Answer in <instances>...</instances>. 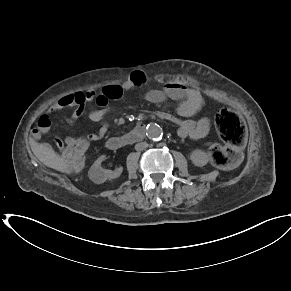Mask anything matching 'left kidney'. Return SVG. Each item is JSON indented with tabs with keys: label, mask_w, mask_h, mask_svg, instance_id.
I'll use <instances>...</instances> for the list:
<instances>
[{
	"label": "left kidney",
	"mask_w": 291,
	"mask_h": 291,
	"mask_svg": "<svg viewBox=\"0 0 291 291\" xmlns=\"http://www.w3.org/2000/svg\"><path fill=\"white\" fill-rule=\"evenodd\" d=\"M190 160L195 166H205L209 161V156L202 150H195L190 155Z\"/></svg>",
	"instance_id": "1"
}]
</instances>
